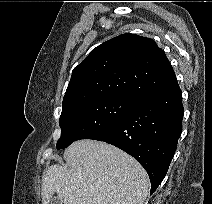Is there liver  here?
I'll list each match as a JSON object with an SVG mask.
<instances>
[{
  "label": "liver",
  "mask_w": 212,
  "mask_h": 204,
  "mask_svg": "<svg viewBox=\"0 0 212 204\" xmlns=\"http://www.w3.org/2000/svg\"><path fill=\"white\" fill-rule=\"evenodd\" d=\"M70 168L51 165L42 179V204L57 193L62 204H143L150 181L145 169L121 149L78 140L64 152Z\"/></svg>",
  "instance_id": "liver-1"
}]
</instances>
